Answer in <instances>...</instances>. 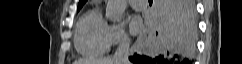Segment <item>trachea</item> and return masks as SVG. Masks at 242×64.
Listing matches in <instances>:
<instances>
[{
  "label": "trachea",
  "instance_id": "3493384b",
  "mask_svg": "<svg viewBox=\"0 0 242 64\" xmlns=\"http://www.w3.org/2000/svg\"><path fill=\"white\" fill-rule=\"evenodd\" d=\"M149 1V3H152V0H148Z\"/></svg>",
  "mask_w": 242,
  "mask_h": 64
}]
</instances>
